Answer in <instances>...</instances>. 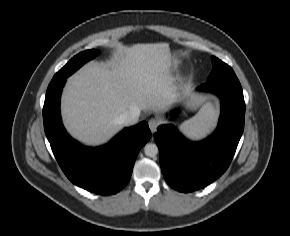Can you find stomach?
Here are the masks:
<instances>
[{"instance_id":"0dacf381","label":"stomach","mask_w":290,"mask_h":236,"mask_svg":"<svg viewBox=\"0 0 290 236\" xmlns=\"http://www.w3.org/2000/svg\"><path fill=\"white\" fill-rule=\"evenodd\" d=\"M171 88L173 92V102H175L178 98L183 97L180 87L174 81H171Z\"/></svg>"}]
</instances>
